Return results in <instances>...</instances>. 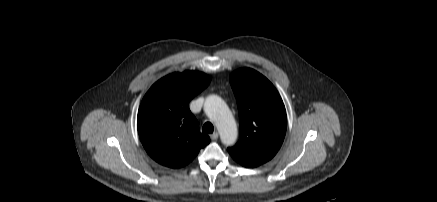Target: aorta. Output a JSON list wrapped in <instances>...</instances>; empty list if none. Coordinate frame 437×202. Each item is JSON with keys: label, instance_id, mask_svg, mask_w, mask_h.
<instances>
[{"label": "aorta", "instance_id": "1", "mask_svg": "<svg viewBox=\"0 0 437 202\" xmlns=\"http://www.w3.org/2000/svg\"><path fill=\"white\" fill-rule=\"evenodd\" d=\"M204 110L215 123L222 143L233 145L237 139V126L227 104L219 96L210 95L205 101Z\"/></svg>", "mask_w": 437, "mask_h": 202}]
</instances>
